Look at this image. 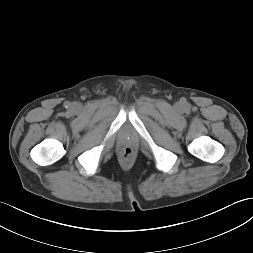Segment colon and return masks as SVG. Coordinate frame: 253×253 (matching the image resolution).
I'll return each instance as SVG.
<instances>
[{"label": "colon", "mask_w": 253, "mask_h": 253, "mask_svg": "<svg viewBox=\"0 0 253 253\" xmlns=\"http://www.w3.org/2000/svg\"><path fill=\"white\" fill-rule=\"evenodd\" d=\"M133 154H134V150L131 147H124L121 150V156L124 159H130L133 156Z\"/></svg>", "instance_id": "colon-1"}]
</instances>
